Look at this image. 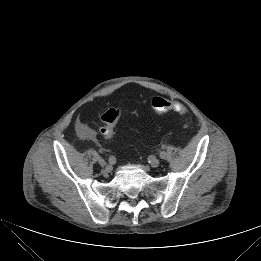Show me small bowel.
I'll use <instances>...</instances> for the list:
<instances>
[{
    "instance_id": "small-bowel-1",
    "label": "small bowel",
    "mask_w": 261,
    "mask_h": 261,
    "mask_svg": "<svg viewBox=\"0 0 261 261\" xmlns=\"http://www.w3.org/2000/svg\"><path fill=\"white\" fill-rule=\"evenodd\" d=\"M76 131L83 140L95 141L97 138V132L81 120L76 123Z\"/></svg>"
}]
</instances>
